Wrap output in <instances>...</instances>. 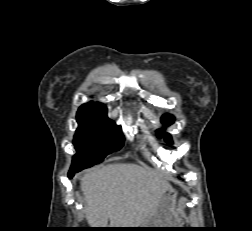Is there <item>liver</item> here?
<instances>
[{"instance_id": "1", "label": "liver", "mask_w": 252, "mask_h": 231, "mask_svg": "<svg viewBox=\"0 0 252 231\" xmlns=\"http://www.w3.org/2000/svg\"><path fill=\"white\" fill-rule=\"evenodd\" d=\"M86 220L92 228H138L154 212L169 183L155 172L129 163L94 168L81 178Z\"/></svg>"}]
</instances>
